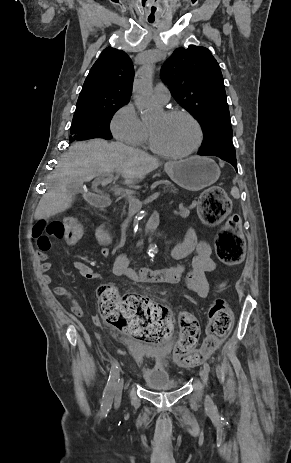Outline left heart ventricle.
<instances>
[{
    "instance_id": "left-heart-ventricle-1",
    "label": "left heart ventricle",
    "mask_w": 291,
    "mask_h": 463,
    "mask_svg": "<svg viewBox=\"0 0 291 463\" xmlns=\"http://www.w3.org/2000/svg\"><path fill=\"white\" fill-rule=\"evenodd\" d=\"M155 144L171 153L183 152L192 147L197 133L193 123L183 116L167 117L161 114L149 124Z\"/></svg>"
}]
</instances>
